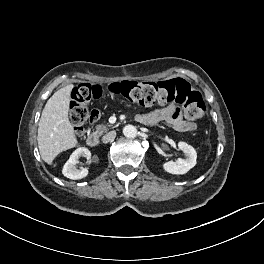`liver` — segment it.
<instances>
[{
  "label": "liver",
  "instance_id": "1",
  "mask_svg": "<svg viewBox=\"0 0 264 264\" xmlns=\"http://www.w3.org/2000/svg\"><path fill=\"white\" fill-rule=\"evenodd\" d=\"M73 87L70 84L56 91L47 101L39 120L38 148L42 159L49 165L58 154L78 143L68 118Z\"/></svg>",
  "mask_w": 264,
  "mask_h": 264
}]
</instances>
